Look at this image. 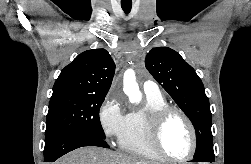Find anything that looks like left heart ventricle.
I'll return each instance as SVG.
<instances>
[{"label": "left heart ventricle", "instance_id": "obj_1", "mask_svg": "<svg viewBox=\"0 0 251 164\" xmlns=\"http://www.w3.org/2000/svg\"><path fill=\"white\" fill-rule=\"evenodd\" d=\"M162 145L168 155L182 158L191 150V134L183 119L173 115L167 121L162 133Z\"/></svg>", "mask_w": 251, "mask_h": 164}]
</instances>
